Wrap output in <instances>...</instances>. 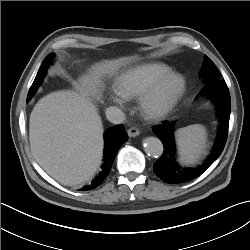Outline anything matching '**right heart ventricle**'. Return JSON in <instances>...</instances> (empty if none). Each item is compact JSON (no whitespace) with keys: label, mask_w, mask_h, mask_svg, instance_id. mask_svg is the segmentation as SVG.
<instances>
[{"label":"right heart ventricle","mask_w":250,"mask_h":250,"mask_svg":"<svg viewBox=\"0 0 250 250\" xmlns=\"http://www.w3.org/2000/svg\"><path fill=\"white\" fill-rule=\"evenodd\" d=\"M172 72V68L161 62H149L133 66L118 75L115 90L127 99L141 96L155 81Z\"/></svg>","instance_id":"1"}]
</instances>
